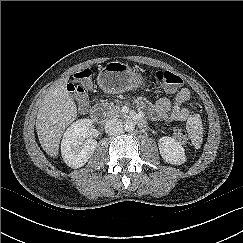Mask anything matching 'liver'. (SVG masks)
<instances>
[{"label": "liver", "instance_id": "1", "mask_svg": "<svg viewBox=\"0 0 243 243\" xmlns=\"http://www.w3.org/2000/svg\"><path fill=\"white\" fill-rule=\"evenodd\" d=\"M62 79L52 85L44 96L37 113L36 132L43 150L56 157L63 131L76 118V104L69 95Z\"/></svg>", "mask_w": 243, "mask_h": 243}]
</instances>
